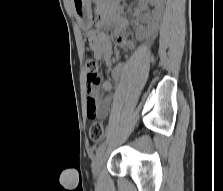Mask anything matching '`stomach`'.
<instances>
[{
    "instance_id": "1",
    "label": "stomach",
    "mask_w": 223,
    "mask_h": 191,
    "mask_svg": "<svg viewBox=\"0 0 223 191\" xmlns=\"http://www.w3.org/2000/svg\"><path fill=\"white\" fill-rule=\"evenodd\" d=\"M91 2L92 0H72L75 17L79 25L85 30L91 26Z\"/></svg>"
}]
</instances>
